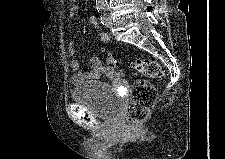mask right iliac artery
<instances>
[{
	"label": "right iliac artery",
	"instance_id": "82829eb1",
	"mask_svg": "<svg viewBox=\"0 0 225 159\" xmlns=\"http://www.w3.org/2000/svg\"><path fill=\"white\" fill-rule=\"evenodd\" d=\"M101 9H103V7H98V8H97L98 12H99Z\"/></svg>",
	"mask_w": 225,
	"mask_h": 159
}]
</instances>
